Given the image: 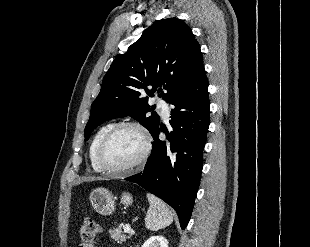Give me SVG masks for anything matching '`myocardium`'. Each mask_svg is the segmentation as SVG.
<instances>
[{
  "instance_id": "f54148a6",
  "label": "myocardium",
  "mask_w": 310,
  "mask_h": 247,
  "mask_svg": "<svg viewBox=\"0 0 310 247\" xmlns=\"http://www.w3.org/2000/svg\"><path fill=\"white\" fill-rule=\"evenodd\" d=\"M125 128H133L137 130L143 139V149L138 158L132 162L131 164L121 167V168H110L103 162L102 154L105 146L109 142V140L120 130ZM151 152V136L149 131L142 124L135 121H123L118 124H115L101 139L97 151H96V162L102 171H105L109 175H124L130 173L141 166L144 165L146 160L148 159Z\"/></svg>"
}]
</instances>
